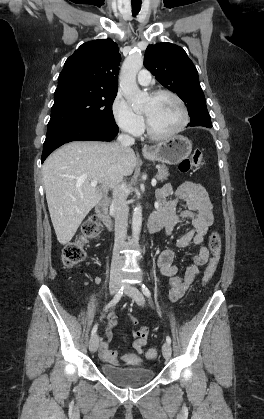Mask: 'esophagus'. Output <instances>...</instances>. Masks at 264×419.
<instances>
[{"instance_id": "obj_1", "label": "esophagus", "mask_w": 264, "mask_h": 419, "mask_svg": "<svg viewBox=\"0 0 264 419\" xmlns=\"http://www.w3.org/2000/svg\"><path fill=\"white\" fill-rule=\"evenodd\" d=\"M151 150H150V148H148L147 146H144V147H142V153L143 154H147V153H149Z\"/></svg>"}]
</instances>
